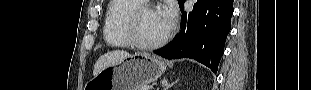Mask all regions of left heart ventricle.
I'll list each match as a JSON object with an SVG mask.
<instances>
[{"mask_svg":"<svg viewBox=\"0 0 311 90\" xmlns=\"http://www.w3.org/2000/svg\"><path fill=\"white\" fill-rule=\"evenodd\" d=\"M169 30L160 11H145L140 20V36L143 41L151 43L159 40Z\"/></svg>","mask_w":311,"mask_h":90,"instance_id":"b2bd125f","label":"left heart ventricle"}]
</instances>
